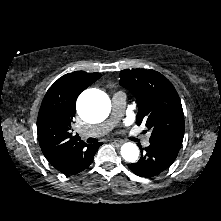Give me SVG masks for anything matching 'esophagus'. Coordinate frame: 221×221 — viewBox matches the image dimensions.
<instances>
[{
  "instance_id": "1",
  "label": "esophagus",
  "mask_w": 221,
  "mask_h": 221,
  "mask_svg": "<svg viewBox=\"0 0 221 221\" xmlns=\"http://www.w3.org/2000/svg\"><path fill=\"white\" fill-rule=\"evenodd\" d=\"M111 143L115 144V145H121L123 143V141L122 140H112Z\"/></svg>"
}]
</instances>
